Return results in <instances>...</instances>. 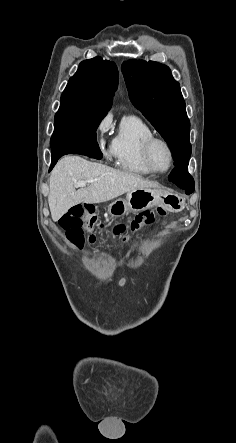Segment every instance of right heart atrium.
<instances>
[{
	"label": "right heart atrium",
	"instance_id": "1",
	"mask_svg": "<svg viewBox=\"0 0 236 443\" xmlns=\"http://www.w3.org/2000/svg\"><path fill=\"white\" fill-rule=\"evenodd\" d=\"M111 119V114H106L98 122L94 130L95 143L102 153L107 157L112 156V142H110L107 146V132L111 124Z\"/></svg>",
	"mask_w": 236,
	"mask_h": 443
}]
</instances>
